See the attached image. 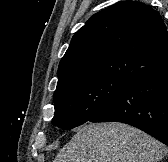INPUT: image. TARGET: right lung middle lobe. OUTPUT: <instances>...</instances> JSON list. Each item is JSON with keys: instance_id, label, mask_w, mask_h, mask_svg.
Here are the masks:
<instances>
[{"instance_id": "obj_1", "label": "right lung middle lobe", "mask_w": 168, "mask_h": 162, "mask_svg": "<svg viewBox=\"0 0 168 162\" xmlns=\"http://www.w3.org/2000/svg\"><path fill=\"white\" fill-rule=\"evenodd\" d=\"M132 80L123 75H105L56 91L52 124L69 130L90 121Z\"/></svg>"}]
</instances>
